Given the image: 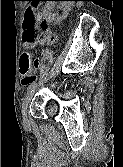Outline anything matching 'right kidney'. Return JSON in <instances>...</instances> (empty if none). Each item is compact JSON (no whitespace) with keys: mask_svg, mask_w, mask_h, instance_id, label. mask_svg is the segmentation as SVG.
Here are the masks:
<instances>
[{"mask_svg":"<svg viewBox=\"0 0 123 167\" xmlns=\"http://www.w3.org/2000/svg\"><path fill=\"white\" fill-rule=\"evenodd\" d=\"M56 3H58V8L62 9V11H63L62 15H60V16L53 12ZM73 3L74 2H72V1H59V2L48 1L47 5L45 7L44 14L50 20L55 21V22H60L67 17L68 12L71 10V8L73 6Z\"/></svg>","mask_w":123,"mask_h":167,"instance_id":"obj_1","label":"right kidney"}]
</instances>
